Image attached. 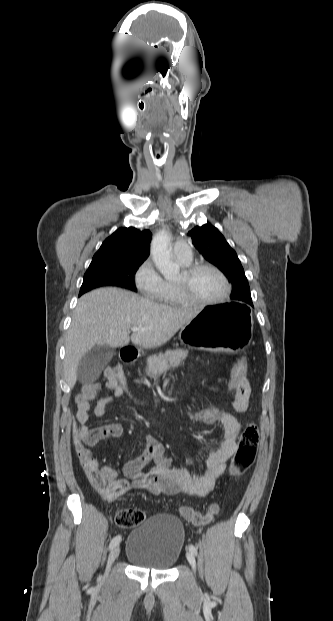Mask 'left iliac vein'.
Returning <instances> with one entry per match:
<instances>
[{
	"mask_svg": "<svg viewBox=\"0 0 333 621\" xmlns=\"http://www.w3.org/2000/svg\"><path fill=\"white\" fill-rule=\"evenodd\" d=\"M186 556H187V560H188L189 564L191 565L193 570H195V568H196V560H195L194 554L189 551V552H187Z\"/></svg>",
	"mask_w": 333,
	"mask_h": 621,
	"instance_id": "left-iliac-vein-1",
	"label": "left iliac vein"
}]
</instances>
